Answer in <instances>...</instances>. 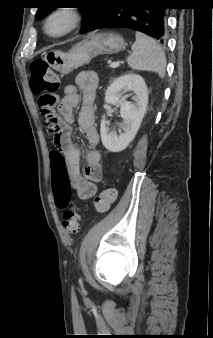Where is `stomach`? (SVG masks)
<instances>
[{
  "mask_svg": "<svg viewBox=\"0 0 213 338\" xmlns=\"http://www.w3.org/2000/svg\"><path fill=\"white\" fill-rule=\"evenodd\" d=\"M125 47L123 37L116 33H91L67 53L50 51L45 55V61L51 68L66 75L98 55L118 53Z\"/></svg>",
  "mask_w": 213,
  "mask_h": 338,
  "instance_id": "obj_1",
  "label": "stomach"
}]
</instances>
